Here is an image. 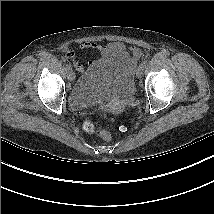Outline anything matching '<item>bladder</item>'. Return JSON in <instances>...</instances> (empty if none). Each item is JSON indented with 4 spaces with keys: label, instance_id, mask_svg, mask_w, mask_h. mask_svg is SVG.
<instances>
[{
    "label": "bladder",
    "instance_id": "1",
    "mask_svg": "<svg viewBox=\"0 0 214 214\" xmlns=\"http://www.w3.org/2000/svg\"><path fill=\"white\" fill-rule=\"evenodd\" d=\"M134 91L131 68L121 56L110 55L81 76L70 91L69 101L79 110L92 103L126 99Z\"/></svg>",
    "mask_w": 214,
    "mask_h": 214
}]
</instances>
